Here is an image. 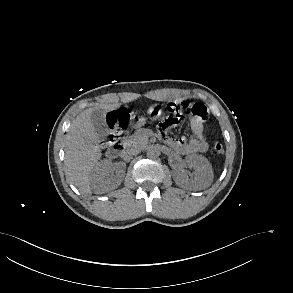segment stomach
I'll return each mask as SVG.
<instances>
[{
	"label": "stomach",
	"instance_id": "0dacf381",
	"mask_svg": "<svg viewBox=\"0 0 293 293\" xmlns=\"http://www.w3.org/2000/svg\"><path fill=\"white\" fill-rule=\"evenodd\" d=\"M147 115H148L147 118L140 115H133L131 118L132 125L134 127H140L146 123L147 119H150L152 121L157 120L162 115V109L156 104L151 105L148 108Z\"/></svg>",
	"mask_w": 293,
	"mask_h": 293
}]
</instances>
